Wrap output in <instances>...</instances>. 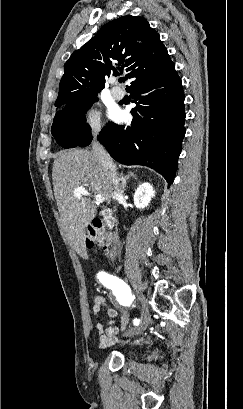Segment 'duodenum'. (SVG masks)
I'll return each mask as SVG.
<instances>
[{"mask_svg": "<svg viewBox=\"0 0 243 409\" xmlns=\"http://www.w3.org/2000/svg\"><path fill=\"white\" fill-rule=\"evenodd\" d=\"M103 222L106 226L111 227L114 223L112 212L108 209L102 210Z\"/></svg>", "mask_w": 243, "mask_h": 409, "instance_id": "duodenum-1", "label": "duodenum"}]
</instances>
